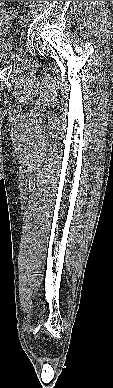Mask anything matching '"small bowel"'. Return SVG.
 Returning a JSON list of instances; mask_svg holds the SVG:
<instances>
[{
  "label": "small bowel",
  "instance_id": "c3829d8e",
  "mask_svg": "<svg viewBox=\"0 0 113 388\" xmlns=\"http://www.w3.org/2000/svg\"><path fill=\"white\" fill-rule=\"evenodd\" d=\"M1 4H2V1H0V20H1V18H2L1 16H2V15H5V11L3 10Z\"/></svg>",
  "mask_w": 113,
  "mask_h": 388
}]
</instances>
